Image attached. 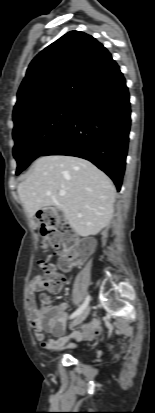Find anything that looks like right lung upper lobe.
I'll use <instances>...</instances> for the list:
<instances>
[{
    "label": "right lung upper lobe",
    "instance_id": "right-lung-upper-lobe-1",
    "mask_svg": "<svg viewBox=\"0 0 155 413\" xmlns=\"http://www.w3.org/2000/svg\"><path fill=\"white\" fill-rule=\"evenodd\" d=\"M119 66L95 38L71 31L30 63L13 110L15 128L65 104H76L110 79Z\"/></svg>",
    "mask_w": 155,
    "mask_h": 413
}]
</instances>
